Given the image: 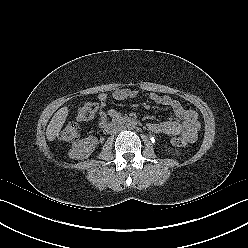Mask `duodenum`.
<instances>
[{
  "instance_id": "obj_1",
  "label": "duodenum",
  "mask_w": 248,
  "mask_h": 248,
  "mask_svg": "<svg viewBox=\"0 0 248 248\" xmlns=\"http://www.w3.org/2000/svg\"><path fill=\"white\" fill-rule=\"evenodd\" d=\"M128 121V118H117L113 123L107 124L106 130H111L115 127L116 124H123Z\"/></svg>"
}]
</instances>
